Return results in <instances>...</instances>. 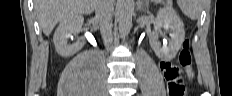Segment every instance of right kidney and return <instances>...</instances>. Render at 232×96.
<instances>
[{
	"mask_svg": "<svg viewBox=\"0 0 232 96\" xmlns=\"http://www.w3.org/2000/svg\"><path fill=\"white\" fill-rule=\"evenodd\" d=\"M83 22L84 19L79 14L66 17L60 22L53 37L55 49L60 56L70 57L84 46V42L81 41L68 44V38L81 31Z\"/></svg>",
	"mask_w": 232,
	"mask_h": 96,
	"instance_id": "1",
	"label": "right kidney"
}]
</instances>
